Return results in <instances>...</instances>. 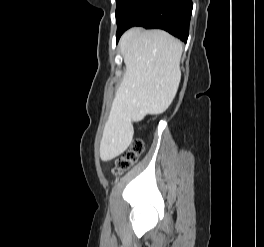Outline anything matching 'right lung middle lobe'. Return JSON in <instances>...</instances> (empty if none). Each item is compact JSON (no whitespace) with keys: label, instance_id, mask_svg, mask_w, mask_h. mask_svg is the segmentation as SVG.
<instances>
[{"label":"right lung middle lobe","instance_id":"obj_1","mask_svg":"<svg viewBox=\"0 0 264 247\" xmlns=\"http://www.w3.org/2000/svg\"><path fill=\"white\" fill-rule=\"evenodd\" d=\"M117 2V7H116V21L118 22L125 6L129 2V0H116Z\"/></svg>","mask_w":264,"mask_h":247}]
</instances>
